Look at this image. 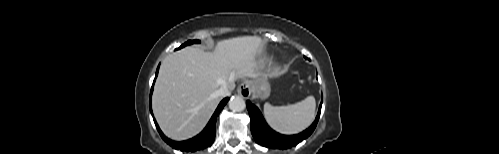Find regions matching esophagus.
Listing matches in <instances>:
<instances>
[{
    "label": "esophagus",
    "instance_id": "esophagus-1",
    "mask_svg": "<svg viewBox=\"0 0 499 154\" xmlns=\"http://www.w3.org/2000/svg\"><path fill=\"white\" fill-rule=\"evenodd\" d=\"M237 93L243 98H248L251 95V83L249 81L241 82L237 88Z\"/></svg>",
    "mask_w": 499,
    "mask_h": 154
}]
</instances>
